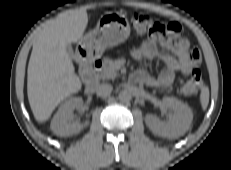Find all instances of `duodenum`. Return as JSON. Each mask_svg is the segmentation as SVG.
<instances>
[{
    "instance_id": "duodenum-1",
    "label": "duodenum",
    "mask_w": 231,
    "mask_h": 170,
    "mask_svg": "<svg viewBox=\"0 0 231 170\" xmlns=\"http://www.w3.org/2000/svg\"><path fill=\"white\" fill-rule=\"evenodd\" d=\"M102 67V60L97 57H87L81 66V77L86 83V95H92L95 91L98 72Z\"/></svg>"
}]
</instances>
